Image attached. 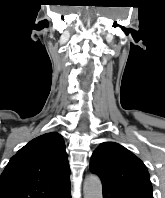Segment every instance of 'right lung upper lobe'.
Wrapping results in <instances>:
<instances>
[{
  "label": "right lung upper lobe",
  "mask_w": 165,
  "mask_h": 198,
  "mask_svg": "<svg viewBox=\"0 0 165 198\" xmlns=\"http://www.w3.org/2000/svg\"><path fill=\"white\" fill-rule=\"evenodd\" d=\"M62 136L43 134L21 148L0 178V198H62L70 191Z\"/></svg>",
  "instance_id": "right-lung-upper-lobe-1"
}]
</instances>
